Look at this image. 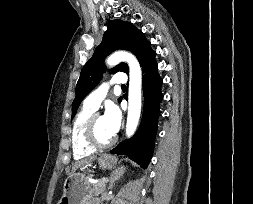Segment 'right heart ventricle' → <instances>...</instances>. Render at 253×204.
Here are the masks:
<instances>
[{
  "mask_svg": "<svg viewBox=\"0 0 253 204\" xmlns=\"http://www.w3.org/2000/svg\"><path fill=\"white\" fill-rule=\"evenodd\" d=\"M95 112V109L83 105L82 109L75 117L72 128V151L75 159H83L92 155L95 152V148L91 147L85 139V127Z\"/></svg>",
  "mask_w": 253,
  "mask_h": 204,
  "instance_id": "e07e8e85",
  "label": "right heart ventricle"
}]
</instances>
